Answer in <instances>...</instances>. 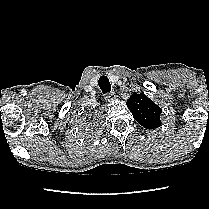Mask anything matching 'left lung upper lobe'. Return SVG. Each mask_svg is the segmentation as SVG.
Returning <instances> with one entry per match:
<instances>
[{
    "mask_svg": "<svg viewBox=\"0 0 209 209\" xmlns=\"http://www.w3.org/2000/svg\"><path fill=\"white\" fill-rule=\"evenodd\" d=\"M126 104L134 119L144 128L156 129L161 126L162 110L145 94L133 93Z\"/></svg>",
    "mask_w": 209,
    "mask_h": 209,
    "instance_id": "obj_1",
    "label": "left lung upper lobe"
}]
</instances>
